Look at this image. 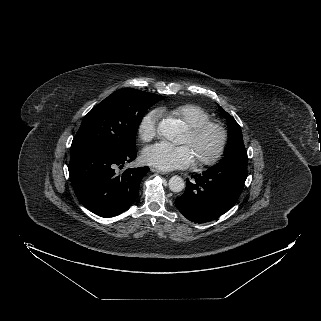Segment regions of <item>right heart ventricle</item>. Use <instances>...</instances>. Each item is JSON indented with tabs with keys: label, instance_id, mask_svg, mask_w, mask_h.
I'll return each instance as SVG.
<instances>
[{
	"label": "right heart ventricle",
	"instance_id": "right-heart-ventricle-1",
	"mask_svg": "<svg viewBox=\"0 0 321 321\" xmlns=\"http://www.w3.org/2000/svg\"><path fill=\"white\" fill-rule=\"evenodd\" d=\"M170 113L183 121L187 128L211 119L207 110L200 105L187 103L173 108Z\"/></svg>",
	"mask_w": 321,
	"mask_h": 321
}]
</instances>
